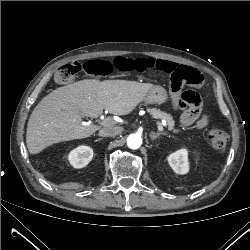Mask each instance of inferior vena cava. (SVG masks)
Wrapping results in <instances>:
<instances>
[{
	"label": "inferior vena cava",
	"instance_id": "602c4592",
	"mask_svg": "<svg viewBox=\"0 0 250 250\" xmlns=\"http://www.w3.org/2000/svg\"><path fill=\"white\" fill-rule=\"evenodd\" d=\"M121 129L119 127H104L99 131V135L103 137L116 136L120 134Z\"/></svg>",
	"mask_w": 250,
	"mask_h": 250
}]
</instances>
